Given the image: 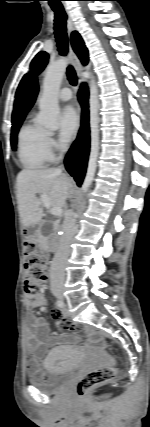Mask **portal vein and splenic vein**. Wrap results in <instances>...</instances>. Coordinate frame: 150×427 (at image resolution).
Segmentation results:
<instances>
[{
    "label": "portal vein and splenic vein",
    "mask_w": 150,
    "mask_h": 427,
    "mask_svg": "<svg viewBox=\"0 0 150 427\" xmlns=\"http://www.w3.org/2000/svg\"><path fill=\"white\" fill-rule=\"evenodd\" d=\"M39 201H40V203H43V205L47 209L50 208L49 198L46 195H41ZM51 213L54 216H60L62 214V208L61 207H54V208L51 209Z\"/></svg>",
    "instance_id": "portal-vein-and-splenic-vein-1"
}]
</instances>
